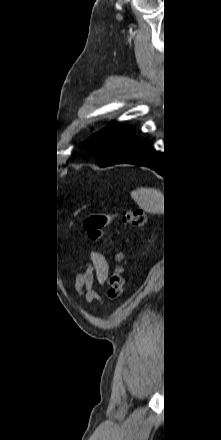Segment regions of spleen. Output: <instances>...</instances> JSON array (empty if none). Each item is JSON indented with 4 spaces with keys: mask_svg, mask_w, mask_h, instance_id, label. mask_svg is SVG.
Instances as JSON below:
<instances>
[{
    "mask_svg": "<svg viewBox=\"0 0 221 440\" xmlns=\"http://www.w3.org/2000/svg\"><path fill=\"white\" fill-rule=\"evenodd\" d=\"M131 197L142 210L148 213L159 214L163 212V192L159 189L140 187L131 192Z\"/></svg>",
    "mask_w": 221,
    "mask_h": 440,
    "instance_id": "1",
    "label": "spleen"
}]
</instances>
